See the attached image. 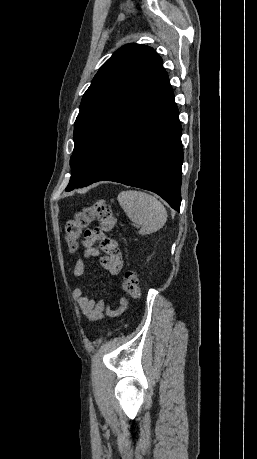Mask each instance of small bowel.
I'll return each instance as SVG.
<instances>
[{"instance_id": "obj_1", "label": "small bowel", "mask_w": 257, "mask_h": 459, "mask_svg": "<svg viewBox=\"0 0 257 459\" xmlns=\"http://www.w3.org/2000/svg\"><path fill=\"white\" fill-rule=\"evenodd\" d=\"M99 241V244L96 243ZM83 245L85 247L84 257L78 258L73 269V276L80 278L85 274L86 259L100 256V264L111 275L120 273L123 267V259L115 239L102 236L99 229L88 231L85 235ZM101 252L103 254L101 255ZM73 298L77 301L78 308L83 316L90 321H97L105 314L111 317L121 315L126 307L127 300L122 297L117 309L111 308L103 300H96L85 293L82 287H76L72 292Z\"/></svg>"}]
</instances>
